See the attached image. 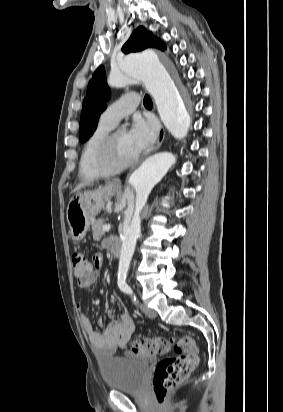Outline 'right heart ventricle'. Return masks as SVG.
<instances>
[{"instance_id": "e07e8e85", "label": "right heart ventricle", "mask_w": 283, "mask_h": 412, "mask_svg": "<svg viewBox=\"0 0 283 412\" xmlns=\"http://www.w3.org/2000/svg\"><path fill=\"white\" fill-rule=\"evenodd\" d=\"M112 128L99 121L85 141L79 160V176L82 180H90L110 174L99 165L98 156L103 142Z\"/></svg>"}]
</instances>
